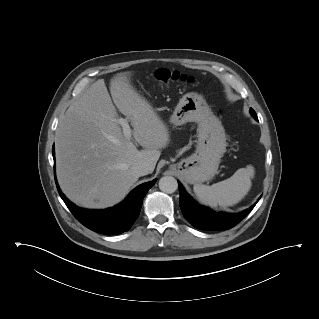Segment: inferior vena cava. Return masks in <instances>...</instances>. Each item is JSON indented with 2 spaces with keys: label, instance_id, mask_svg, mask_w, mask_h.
<instances>
[{
  "label": "inferior vena cava",
  "instance_id": "inferior-vena-cava-1",
  "mask_svg": "<svg viewBox=\"0 0 319 319\" xmlns=\"http://www.w3.org/2000/svg\"><path fill=\"white\" fill-rule=\"evenodd\" d=\"M131 171L137 176H144L150 173V166L147 162H139L131 167Z\"/></svg>",
  "mask_w": 319,
  "mask_h": 319
}]
</instances>
